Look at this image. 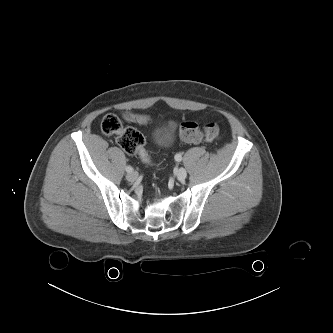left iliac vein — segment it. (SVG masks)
I'll return each mask as SVG.
<instances>
[{
    "label": "left iliac vein",
    "instance_id": "left-iliac-vein-1",
    "mask_svg": "<svg viewBox=\"0 0 333 333\" xmlns=\"http://www.w3.org/2000/svg\"><path fill=\"white\" fill-rule=\"evenodd\" d=\"M187 176V172L184 168H179L176 172V177L179 181H183Z\"/></svg>",
    "mask_w": 333,
    "mask_h": 333
}]
</instances>
